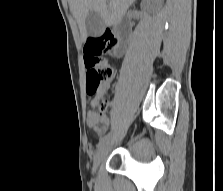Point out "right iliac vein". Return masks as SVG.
Instances as JSON below:
<instances>
[{
    "label": "right iliac vein",
    "instance_id": "right-iliac-vein-1",
    "mask_svg": "<svg viewBox=\"0 0 223 191\" xmlns=\"http://www.w3.org/2000/svg\"><path fill=\"white\" fill-rule=\"evenodd\" d=\"M108 149V141H105L102 143L99 148L97 149L95 155H94V161H93V172L95 173L98 166L104 159Z\"/></svg>",
    "mask_w": 223,
    "mask_h": 191
}]
</instances>
